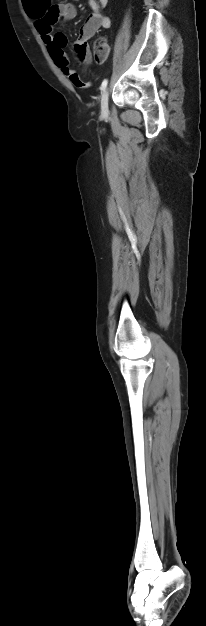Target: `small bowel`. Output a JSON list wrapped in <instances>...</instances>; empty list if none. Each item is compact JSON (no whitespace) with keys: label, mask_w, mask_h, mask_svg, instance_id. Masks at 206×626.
Listing matches in <instances>:
<instances>
[{"label":"small bowel","mask_w":206,"mask_h":626,"mask_svg":"<svg viewBox=\"0 0 206 626\" xmlns=\"http://www.w3.org/2000/svg\"><path fill=\"white\" fill-rule=\"evenodd\" d=\"M107 3L108 0H88L92 12L81 27L74 43V50L84 64L91 62L88 40L99 29H108L111 26L110 18L100 12V9L106 7ZM24 5L27 14L34 19L35 27L46 45L49 55L61 72L74 86L81 89L90 87V82L84 81L69 65L68 57L64 52L67 43L66 35L61 31L55 32L53 29L54 24L64 23L76 17L75 6L71 3L52 5L49 0H28Z\"/></svg>","instance_id":"small-bowel-1"}]
</instances>
